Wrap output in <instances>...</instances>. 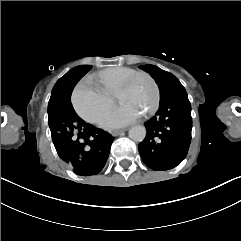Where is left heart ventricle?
Instances as JSON below:
<instances>
[{"mask_svg": "<svg viewBox=\"0 0 241 241\" xmlns=\"http://www.w3.org/2000/svg\"><path fill=\"white\" fill-rule=\"evenodd\" d=\"M143 76V81H140L142 76H138V78L125 89L124 98L122 99L125 107L138 112H145L150 109L157 95V86L153 78L149 75Z\"/></svg>", "mask_w": 241, "mask_h": 241, "instance_id": "b2bd125f", "label": "left heart ventricle"}]
</instances>
